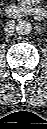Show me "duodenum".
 Instances as JSON below:
<instances>
[{"label":"duodenum","mask_w":47,"mask_h":129,"mask_svg":"<svg viewBox=\"0 0 47 129\" xmlns=\"http://www.w3.org/2000/svg\"><path fill=\"white\" fill-rule=\"evenodd\" d=\"M6 13L11 18H22L32 13L37 19H43L46 15L45 10L40 7L28 8L11 4L6 8Z\"/></svg>","instance_id":"obj_1"}]
</instances>
